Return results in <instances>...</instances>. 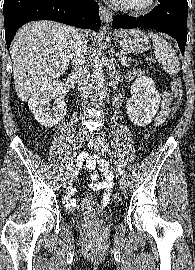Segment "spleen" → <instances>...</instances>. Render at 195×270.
I'll use <instances>...</instances> for the list:
<instances>
[{
    "instance_id": "obj_1",
    "label": "spleen",
    "mask_w": 195,
    "mask_h": 270,
    "mask_svg": "<svg viewBox=\"0 0 195 270\" xmlns=\"http://www.w3.org/2000/svg\"><path fill=\"white\" fill-rule=\"evenodd\" d=\"M153 41L155 57L161 63L165 72L176 75L180 71V64L176 52L172 46L162 37L155 33H149Z\"/></svg>"
}]
</instances>
